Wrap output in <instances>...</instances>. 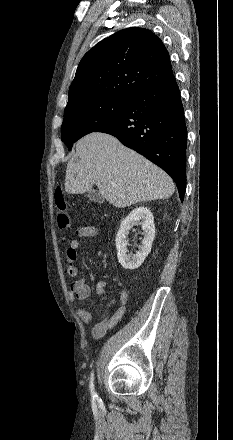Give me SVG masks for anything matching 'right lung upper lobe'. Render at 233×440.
<instances>
[{"label":"right lung upper lobe","mask_w":233,"mask_h":440,"mask_svg":"<svg viewBox=\"0 0 233 440\" xmlns=\"http://www.w3.org/2000/svg\"><path fill=\"white\" fill-rule=\"evenodd\" d=\"M172 75L169 53L160 38L144 28L123 29L84 55L67 105L95 97L130 99Z\"/></svg>","instance_id":"cb5924a9"}]
</instances>
